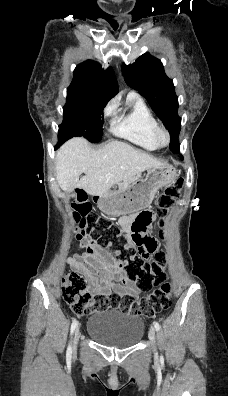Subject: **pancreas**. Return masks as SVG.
Listing matches in <instances>:
<instances>
[{
  "label": "pancreas",
  "mask_w": 228,
  "mask_h": 396,
  "mask_svg": "<svg viewBox=\"0 0 228 396\" xmlns=\"http://www.w3.org/2000/svg\"><path fill=\"white\" fill-rule=\"evenodd\" d=\"M138 179H139V176L133 177V178H130V179L123 180L122 182H120V183L118 184V187H119V189H126L127 187H129V185H130L131 183L136 182Z\"/></svg>",
  "instance_id": "cf45deb5"
}]
</instances>
